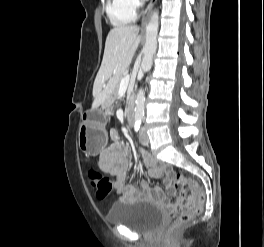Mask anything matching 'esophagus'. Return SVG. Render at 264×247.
Here are the masks:
<instances>
[{
    "instance_id": "34e87169",
    "label": "esophagus",
    "mask_w": 264,
    "mask_h": 247,
    "mask_svg": "<svg viewBox=\"0 0 264 247\" xmlns=\"http://www.w3.org/2000/svg\"><path fill=\"white\" fill-rule=\"evenodd\" d=\"M157 0H151L150 3L148 4L145 12H144V16H143V19H142V24L144 25L146 20H147V17L149 15V13L151 12L153 6L155 5Z\"/></svg>"
}]
</instances>
